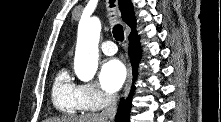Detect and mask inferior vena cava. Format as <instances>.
Segmentation results:
<instances>
[{
    "mask_svg": "<svg viewBox=\"0 0 221 122\" xmlns=\"http://www.w3.org/2000/svg\"><path fill=\"white\" fill-rule=\"evenodd\" d=\"M117 101H118V96L116 94L109 95L108 105L100 113V116L105 119L113 120L117 111Z\"/></svg>",
    "mask_w": 221,
    "mask_h": 122,
    "instance_id": "1",
    "label": "inferior vena cava"
}]
</instances>
